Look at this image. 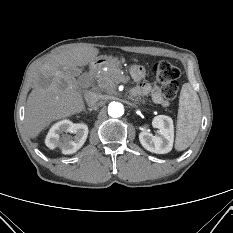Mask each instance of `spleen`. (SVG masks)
Returning a JSON list of instances; mask_svg holds the SVG:
<instances>
[{
    "label": "spleen",
    "instance_id": "obj_1",
    "mask_svg": "<svg viewBox=\"0 0 233 233\" xmlns=\"http://www.w3.org/2000/svg\"><path fill=\"white\" fill-rule=\"evenodd\" d=\"M201 123V104L191 84L182 86L179 99L175 149L183 151L195 140Z\"/></svg>",
    "mask_w": 233,
    "mask_h": 233
}]
</instances>
